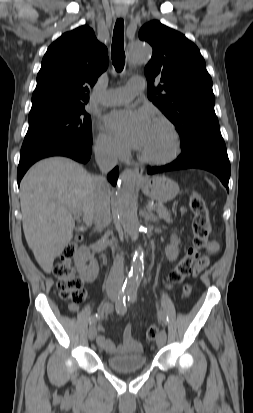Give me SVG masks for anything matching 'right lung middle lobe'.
<instances>
[{
  "label": "right lung middle lobe",
  "mask_w": 253,
  "mask_h": 413,
  "mask_svg": "<svg viewBox=\"0 0 253 413\" xmlns=\"http://www.w3.org/2000/svg\"><path fill=\"white\" fill-rule=\"evenodd\" d=\"M60 143L92 144L91 117L85 105L29 113V128L21 153Z\"/></svg>",
  "instance_id": "obj_1"
}]
</instances>
